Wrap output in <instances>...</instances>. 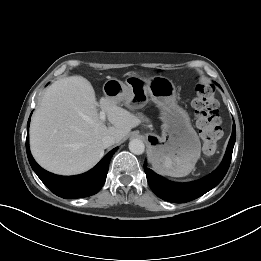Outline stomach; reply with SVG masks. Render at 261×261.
I'll use <instances>...</instances> for the list:
<instances>
[{
	"label": "stomach",
	"mask_w": 261,
	"mask_h": 261,
	"mask_svg": "<svg viewBox=\"0 0 261 261\" xmlns=\"http://www.w3.org/2000/svg\"><path fill=\"white\" fill-rule=\"evenodd\" d=\"M103 91L107 98L116 103L123 101L131 109H140L149 100L154 102L160 110L162 135L146 134L150 162L158 172L173 177L194 170L201 153L200 139L188 113L177 104L176 88L169 78L132 75L126 84L109 79Z\"/></svg>",
	"instance_id": "stomach-1"
}]
</instances>
